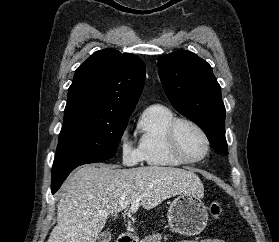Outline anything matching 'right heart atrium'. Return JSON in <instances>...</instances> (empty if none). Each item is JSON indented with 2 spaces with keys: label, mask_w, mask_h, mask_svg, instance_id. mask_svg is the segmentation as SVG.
Returning <instances> with one entry per match:
<instances>
[{
  "label": "right heart atrium",
  "mask_w": 279,
  "mask_h": 242,
  "mask_svg": "<svg viewBox=\"0 0 279 242\" xmlns=\"http://www.w3.org/2000/svg\"><path fill=\"white\" fill-rule=\"evenodd\" d=\"M119 149L122 162L127 166L136 165L143 160L139 147L132 143L127 133L121 135Z\"/></svg>",
  "instance_id": "obj_1"
}]
</instances>
